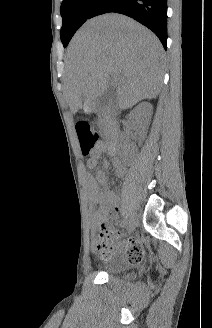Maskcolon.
Segmentation results:
<instances>
[{
    "instance_id": "obj_1",
    "label": "colon",
    "mask_w": 212,
    "mask_h": 328,
    "mask_svg": "<svg viewBox=\"0 0 212 328\" xmlns=\"http://www.w3.org/2000/svg\"><path fill=\"white\" fill-rule=\"evenodd\" d=\"M76 133L78 136L80 149L82 155L87 157L95 152L96 145L98 142V134L91 127V125L86 121H79L76 124ZM119 236L113 232L106 224L100 226L99 234L96 241V249L98 253L107 258L110 256L112 251L117 245ZM142 259V253H140L136 258L135 262Z\"/></svg>"
}]
</instances>
